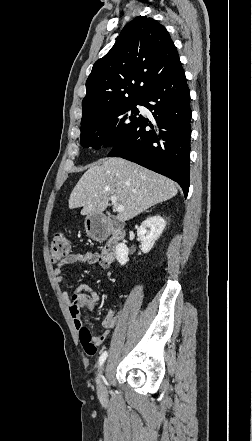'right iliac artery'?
Returning a JSON list of instances; mask_svg holds the SVG:
<instances>
[{
  "label": "right iliac artery",
  "instance_id": "1",
  "mask_svg": "<svg viewBox=\"0 0 252 441\" xmlns=\"http://www.w3.org/2000/svg\"><path fill=\"white\" fill-rule=\"evenodd\" d=\"M106 358H107V352L105 351V352H103V353L101 354V356H100V358H99V367L104 363V361L106 360Z\"/></svg>",
  "mask_w": 252,
  "mask_h": 441
}]
</instances>
